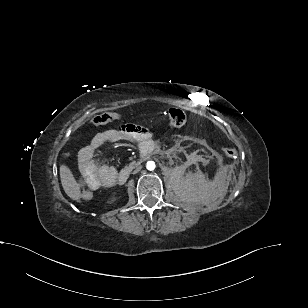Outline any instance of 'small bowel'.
<instances>
[{
	"label": "small bowel",
	"instance_id": "1",
	"mask_svg": "<svg viewBox=\"0 0 308 308\" xmlns=\"http://www.w3.org/2000/svg\"><path fill=\"white\" fill-rule=\"evenodd\" d=\"M151 138L152 134L147 128L132 123L96 134L90 144L83 148L78 156L81 173L79 186L96 190L108 188L114 184L116 169L97 159V152L102 146L121 141L143 143Z\"/></svg>",
	"mask_w": 308,
	"mask_h": 308
}]
</instances>
